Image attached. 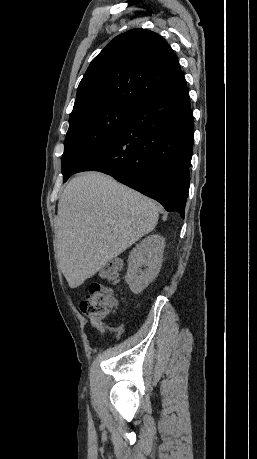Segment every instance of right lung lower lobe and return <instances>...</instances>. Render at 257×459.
Segmentation results:
<instances>
[{
    "label": "right lung lower lobe",
    "mask_w": 257,
    "mask_h": 459,
    "mask_svg": "<svg viewBox=\"0 0 257 459\" xmlns=\"http://www.w3.org/2000/svg\"><path fill=\"white\" fill-rule=\"evenodd\" d=\"M193 135L190 97L183 76L137 106L128 125L74 173L100 171L111 175L184 218Z\"/></svg>",
    "instance_id": "obj_1"
}]
</instances>
